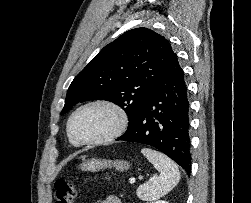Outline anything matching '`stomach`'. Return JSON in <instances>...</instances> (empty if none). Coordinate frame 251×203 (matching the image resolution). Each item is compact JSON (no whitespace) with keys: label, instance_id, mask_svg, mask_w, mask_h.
Masks as SVG:
<instances>
[{"label":"stomach","instance_id":"stomach-1","mask_svg":"<svg viewBox=\"0 0 251 203\" xmlns=\"http://www.w3.org/2000/svg\"><path fill=\"white\" fill-rule=\"evenodd\" d=\"M129 163L124 160H101V159H91V160H84L82 164H80L79 169L82 171H91L96 172L105 168L114 167L118 171L128 170Z\"/></svg>","mask_w":251,"mask_h":203}]
</instances>
